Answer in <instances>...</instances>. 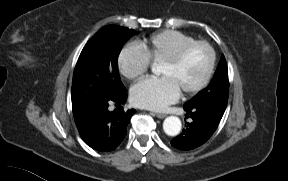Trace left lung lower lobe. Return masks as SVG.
<instances>
[{
    "label": "left lung lower lobe",
    "instance_id": "obj_1",
    "mask_svg": "<svg viewBox=\"0 0 288 181\" xmlns=\"http://www.w3.org/2000/svg\"><path fill=\"white\" fill-rule=\"evenodd\" d=\"M184 109L192 118V122L171 141V145L180 150H192L212 136L223 115L206 107L184 106Z\"/></svg>",
    "mask_w": 288,
    "mask_h": 181
}]
</instances>
